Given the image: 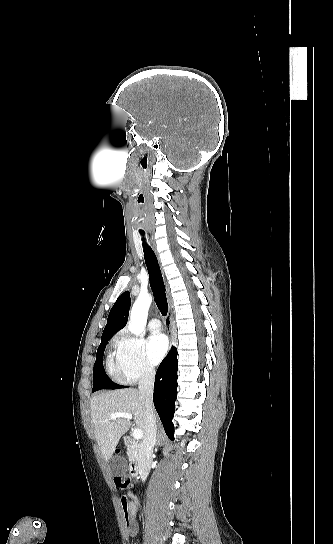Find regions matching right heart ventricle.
<instances>
[{
  "label": "right heart ventricle",
  "mask_w": 333,
  "mask_h": 544,
  "mask_svg": "<svg viewBox=\"0 0 333 544\" xmlns=\"http://www.w3.org/2000/svg\"><path fill=\"white\" fill-rule=\"evenodd\" d=\"M107 369H108L109 373L113 377H115L117 379L118 378L120 379V375H119V371H118V368H117L116 360H114L111 355H109L108 358H107Z\"/></svg>",
  "instance_id": "1"
}]
</instances>
